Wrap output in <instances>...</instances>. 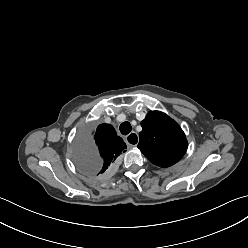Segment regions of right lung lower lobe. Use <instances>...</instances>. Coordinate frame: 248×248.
<instances>
[{"label": "right lung lower lobe", "instance_id": "98d812e1", "mask_svg": "<svg viewBox=\"0 0 248 248\" xmlns=\"http://www.w3.org/2000/svg\"><path fill=\"white\" fill-rule=\"evenodd\" d=\"M114 165H115V164H114ZM114 165H113L107 172L111 171V170L114 168Z\"/></svg>", "mask_w": 248, "mask_h": 248}]
</instances>
